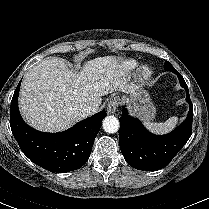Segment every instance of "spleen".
Wrapping results in <instances>:
<instances>
[{
	"label": "spleen",
	"instance_id": "3e777b00",
	"mask_svg": "<svg viewBox=\"0 0 209 209\" xmlns=\"http://www.w3.org/2000/svg\"><path fill=\"white\" fill-rule=\"evenodd\" d=\"M178 123L177 117H170L164 123L160 122H145L144 125L147 129H149L152 133L157 135L167 134L172 131Z\"/></svg>",
	"mask_w": 209,
	"mask_h": 209
}]
</instances>
